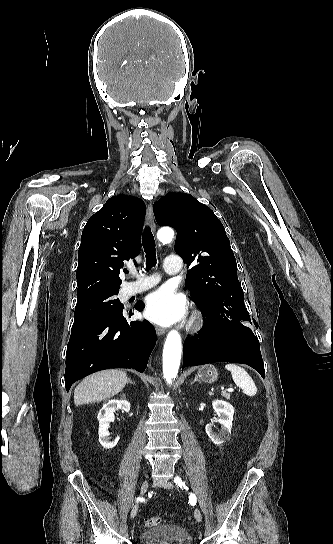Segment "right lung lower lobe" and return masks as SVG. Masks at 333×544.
<instances>
[{
	"instance_id": "1",
	"label": "right lung lower lobe",
	"mask_w": 333,
	"mask_h": 544,
	"mask_svg": "<svg viewBox=\"0 0 333 544\" xmlns=\"http://www.w3.org/2000/svg\"><path fill=\"white\" fill-rule=\"evenodd\" d=\"M135 308L142 311L139 301ZM131 316V310L127 311ZM123 310L71 333L66 352L65 387L85 376L109 368H135L144 372L156 344L148 321L127 323Z\"/></svg>"
}]
</instances>
